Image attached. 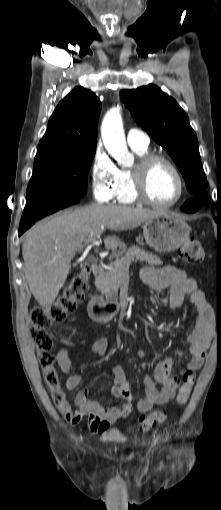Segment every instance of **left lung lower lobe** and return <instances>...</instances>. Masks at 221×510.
<instances>
[{
    "mask_svg": "<svg viewBox=\"0 0 221 510\" xmlns=\"http://www.w3.org/2000/svg\"><path fill=\"white\" fill-rule=\"evenodd\" d=\"M200 207L201 206L195 203L193 200H189L183 205L182 210L186 211L187 213H193Z\"/></svg>",
    "mask_w": 221,
    "mask_h": 510,
    "instance_id": "obj_1",
    "label": "left lung lower lobe"
}]
</instances>
